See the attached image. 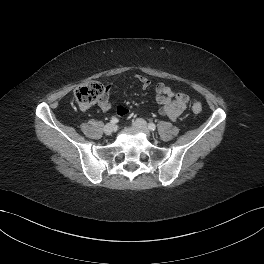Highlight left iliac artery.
<instances>
[{"label": "left iliac artery", "instance_id": "44dca946", "mask_svg": "<svg viewBox=\"0 0 264 264\" xmlns=\"http://www.w3.org/2000/svg\"><path fill=\"white\" fill-rule=\"evenodd\" d=\"M148 128L151 130V131H154L156 129V125L154 123H149L148 124Z\"/></svg>", "mask_w": 264, "mask_h": 264}]
</instances>
